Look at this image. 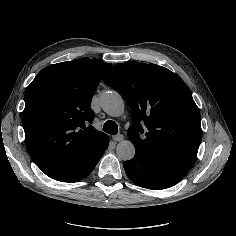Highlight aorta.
<instances>
[{"label": "aorta", "instance_id": "1", "mask_svg": "<svg viewBox=\"0 0 236 236\" xmlns=\"http://www.w3.org/2000/svg\"><path fill=\"white\" fill-rule=\"evenodd\" d=\"M103 110L112 117H118L124 112V101L121 95L116 91H108L101 95L100 98ZM116 155L120 160H131L135 155L134 145L123 140L116 147Z\"/></svg>", "mask_w": 236, "mask_h": 236}]
</instances>
